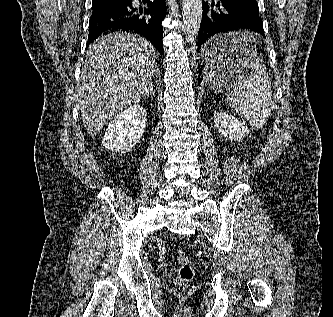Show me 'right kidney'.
<instances>
[{"instance_id": "1", "label": "right kidney", "mask_w": 333, "mask_h": 317, "mask_svg": "<svg viewBox=\"0 0 333 317\" xmlns=\"http://www.w3.org/2000/svg\"><path fill=\"white\" fill-rule=\"evenodd\" d=\"M146 109L135 104L119 113L108 125L102 144L111 151L125 152L141 139L146 128Z\"/></svg>"}]
</instances>
